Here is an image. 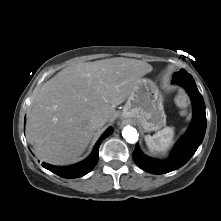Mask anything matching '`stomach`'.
<instances>
[{
    "label": "stomach",
    "instance_id": "obj_1",
    "mask_svg": "<svg viewBox=\"0 0 221 221\" xmlns=\"http://www.w3.org/2000/svg\"><path fill=\"white\" fill-rule=\"evenodd\" d=\"M122 116L136 121L147 132L156 131L165 126L163 97L154 82L141 79L128 97Z\"/></svg>",
    "mask_w": 221,
    "mask_h": 221
}]
</instances>
